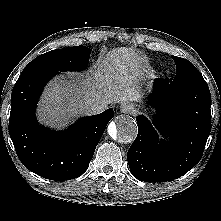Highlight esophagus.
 I'll list each match as a JSON object with an SVG mask.
<instances>
[{
  "label": "esophagus",
  "instance_id": "34e87169",
  "mask_svg": "<svg viewBox=\"0 0 221 221\" xmlns=\"http://www.w3.org/2000/svg\"><path fill=\"white\" fill-rule=\"evenodd\" d=\"M133 109H134L133 106L131 104H129V103H123L120 106V111L122 113H130V112L133 111Z\"/></svg>",
  "mask_w": 221,
  "mask_h": 221
}]
</instances>
